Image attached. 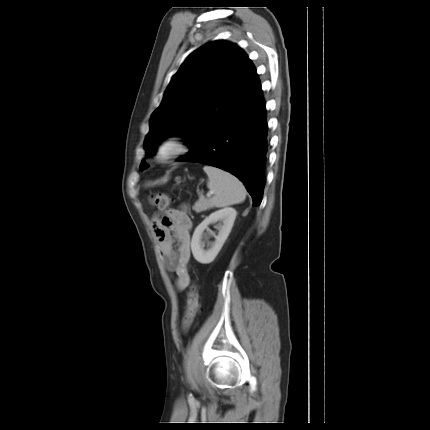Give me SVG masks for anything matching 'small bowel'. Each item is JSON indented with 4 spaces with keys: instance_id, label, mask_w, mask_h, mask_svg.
<instances>
[{
    "instance_id": "c3829d8e",
    "label": "small bowel",
    "mask_w": 430,
    "mask_h": 430,
    "mask_svg": "<svg viewBox=\"0 0 430 430\" xmlns=\"http://www.w3.org/2000/svg\"><path fill=\"white\" fill-rule=\"evenodd\" d=\"M191 227L192 222L185 205L155 217L153 223L164 266L167 272L176 274L175 287L179 291L186 289L191 281L189 274Z\"/></svg>"
}]
</instances>
